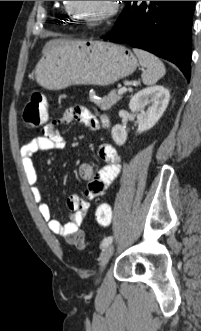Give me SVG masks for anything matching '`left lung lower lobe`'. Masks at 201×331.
Instances as JSON below:
<instances>
[{
  "instance_id": "left-lung-lower-lobe-1",
  "label": "left lung lower lobe",
  "mask_w": 201,
  "mask_h": 331,
  "mask_svg": "<svg viewBox=\"0 0 201 331\" xmlns=\"http://www.w3.org/2000/svg\"><path fill=\"white\" fill-rule=\"evenodd\" d=\"M104 40L127 43L169 60L191 75V29L195 1H125Z\"/></svg>"
}]
</instances>
